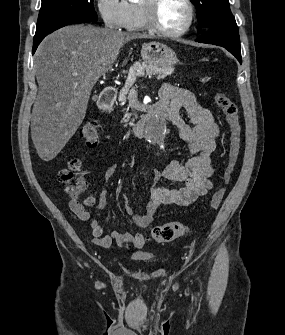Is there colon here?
<instances>
[{"label": "colon", "instance_id": "obj_1", "mask_svg": "<svg viewBox=\"0 0 285 335\" xmlns=\"http://www.w3.org/2000/svg\"><path fill=\"white\" fill-rule=\"evenodd\" d=\"M214 102L221 109L229 128V149L228 161L223 174V184L213 194L209 208L212 211L217 210L225 195V185L228 183L234 166L237 162L240 152L241 124L237 104L231 100L224 92L214 94ZM101 124L97 120H89L79 129L80 138L89 147H95L99 141ZM80 163L73 160L68 167L60 172V179L67 184L68 191L72 194L83 189L85 183L77 175ZM187 225L181 222H170L156 226L150 231V238L159 243L173 241L188 232ZM122 246L131 247L133 244L129 241H123Z\"/></svg>", "mask_w": 285, "mask_h": 335}]
</instances>
